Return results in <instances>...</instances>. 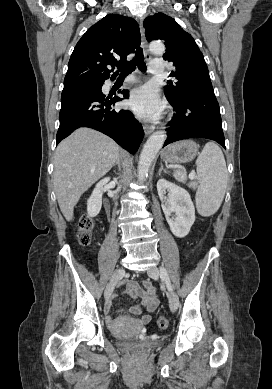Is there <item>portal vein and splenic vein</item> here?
<instances>
[{
	"label": "portal vein and splenic vein",
	"instance_id": "portal-vein-and-splenic-vein-1",
	"mask_svg": "<svg viewBox=\"0 0 272 389\" xmlns=\"http://www.w3.org/2000/svg\"><path fill=\"white\" fill-rule=\"evenodd\" d=\"M189 178H190L191 180L195 179V173H194V172H191V173L189 174Z\"/></svg>",
	"mask_w": 272,
	"mask_h": 389
}]
</instances>
